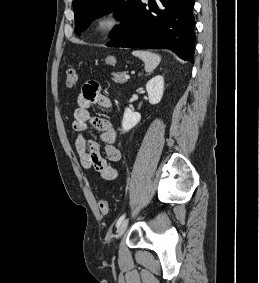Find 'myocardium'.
<instances>
[{
  "mask_svg": "<svg viewBox=\"0 0 259 283\" xmlns=\"http://www.w3.org/2000/svg\"><path fill=\"white\" fill-rule=\"evenodd\" d=\"M123 23L119 12L110 9L98 15L92 24V29L99 37H108L117 31Z\"/></svg>",
  "mask_w": 259,
  "mask_h": 283,
  "instance_id": "obj_1",
  "label": "myocardium"
}]
</instances>
